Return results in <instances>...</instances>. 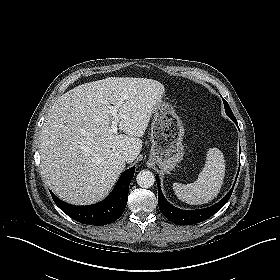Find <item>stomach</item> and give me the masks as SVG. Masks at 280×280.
<instances>
[{
  "label": "stomach",
  "instance_id": "obj_1",
  "mask_svg": "<svg viewBox=\"0 0 280 280\" xmlns=\"http://www.w3.org/2000/svg\"><path fill=\"white\" fill-rule=\"evenodd\" d=\"M150 160L165 172L172 171L184 156V127L171 105L160 102L151 125Z\"/></svg>",
  "mask_w": 280,
  "mask_h": 280
}]
</instances>
